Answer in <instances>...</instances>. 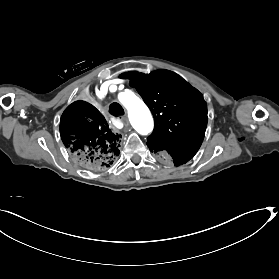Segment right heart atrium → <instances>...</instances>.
<instances>
[{"instance_id": "1", "label": "right heart atrium", "mask_w": 279, "mask_h": 279, "mask_svg": "<svg viewBox=\"0 0 279 279\" xmlns=\"http://www.w3.org/2000/svg\"><path fill=\"white\" fill-rule=\"evenodd\" d=\"M92 105H93L94 107H98L95 103H92Z\"/></svg>"}]
</instances>
